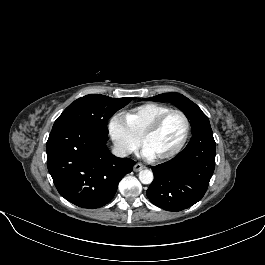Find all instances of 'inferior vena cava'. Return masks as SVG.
I'll use <instances>...</instances> for the list:
<instances>
[{
  "instance_id": "obj_1",
  "label": "inferior vena cava",
  "mask_w": 265,
  "mask_h": 265,
  "mask_svg": "<svg viewBox=\"0 0 265 265\" xmlns=\"http://www.w3.org/2000/svg\"><path fill=\"white\" fill-rule=\"evenodd\" d=\"M112 153L117 157L123 158L131 153V149L122 142H115L112 148Z\"/></svg>"
}]
</instances>
